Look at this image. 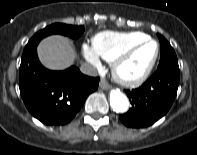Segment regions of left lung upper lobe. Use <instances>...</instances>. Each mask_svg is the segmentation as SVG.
Returning <instances> with one entry per match:
<instances>
[{
    "mask_svg": "<svg viewBox=\"0 0 197 155\" xmlns=\"http://www.w3.org/2000/svg\"><path fill=\"white\" fill-rule=\"evenodd\" d=\"M160 41L161 57L158 68L171 66L179 68L178 60L174 49L171 47L170 43L160 34H157Z\"/></svg>",
    "mask_w": 197,
    "mask_h": 155,
    "instance_id": "left-lung-upper-lobe-1",
    "label": "left lung upper lobe"
}]
</instances>
